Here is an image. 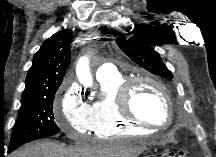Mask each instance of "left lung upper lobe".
Segmentation results:
<instances>
[{
  "mask_svg": "<svg viewBox=\"0 0 216 157\" xmlns=\"http://www.w3.org/2000/svg\"><path fill=\"white\" fill-rule=\"evenodd\" d=\"M115 41L129 58L147 71L168 80L173 79L172 72L162 62L160 55L151 48L150 44H153V41L149 36L134 35L117 38Z\"/></svg>",
  "mask_w": 216,
  "mask_h": 157,
  "instance_id": "obj_1",
  "label": "left lung upper lobe"
}]
</instances>
